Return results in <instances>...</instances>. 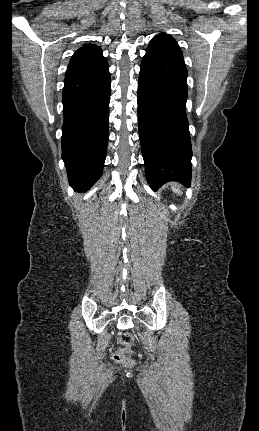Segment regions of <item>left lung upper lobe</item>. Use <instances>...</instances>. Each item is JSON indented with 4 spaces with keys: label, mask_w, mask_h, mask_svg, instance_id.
<instances>
[{
    "label": "left lung upper lobe",
    "mask_w": 259,
    "mask_h": 431,
    "mask_svg": "<svg viewBox=\"0 0 259 431\" xmlns=\"http://www.w3.org/2000/svg\"><path fill=\"white\" fill-rule=\"evenodd\" d=\"M153 39L165 42V43H167L169 45H172L174 47L179 48V46L176 43V41L174 40V38L172 36L168 35V34L156 35Z\"/></svg>",
    "instance_id": "left-lung-upper-lobe-1"
}]
</instances>
